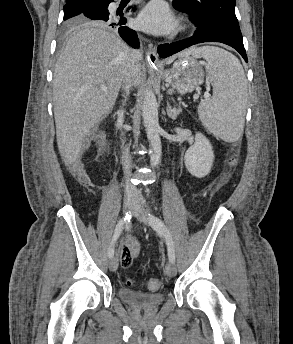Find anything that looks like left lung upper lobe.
Masks as SVG:
<instances>
[{
    "label": "left lung upper lobe",
    "mask_w": 293,
    "mask_h": 344,
    "mask_svg": "<svg viewBox=\"0 0 293 344\" xmlns=\"http://www.w3.org/2000/svg\"><path fill=\"white\" fill-rule=\"evenodd\" d=\"M175 9L188 13L200 27H215L242 39L235 0H173Z\"/></svg>",
    "instance_id": "5c2ea615"
}]
</instances>
